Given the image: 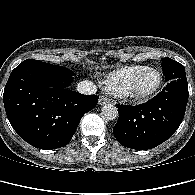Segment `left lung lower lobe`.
<instances>
[{
  "label": "left lung lower lobe",
  "instance_id": "1",
  "mask_svg": "<svg viewBox=\"0 0 195 195\" xmlns=\"http://www.w3.org/2000/svg\"><path fill=\"white\" fill-rule=\"evenodd\" d=\"M187 79L168 81L166 87L146 103L117 105L119 118L113 128L117 141L128 148L146 150L167 139L180 126L188 101Z\"/></svg>",
  "mask_w": 195,
  "mask_h": 195
}]
</instances>
